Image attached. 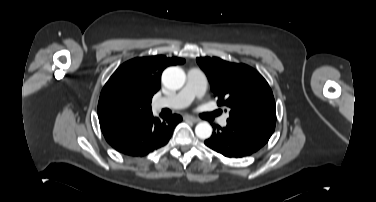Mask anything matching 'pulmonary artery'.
Here are the masks:
<instances>
[{"instance_id": "e3ab8cb5", "label": "pulmonary artery", "mask_w": 376, "mask_h": 202, "mask_svg": "<svg viewBox=\"0 0 376 202\" xmlns=\"http://www.w3.org/2000/svg\"><path fill=\"white\" fill-rule=\"evenodd\" d=\"M206 89V78L199 68H192L188 71L185 86L176 94L162 97L155 101L154 107L181 109L187 107L195 98H201ZM221 125L227 124V117L220 121Z\"/></svg>"}]
</instances>
